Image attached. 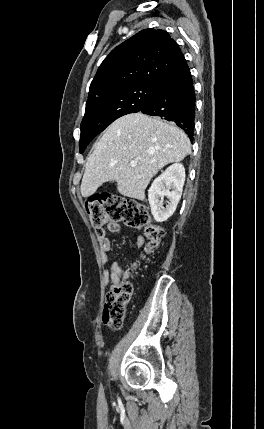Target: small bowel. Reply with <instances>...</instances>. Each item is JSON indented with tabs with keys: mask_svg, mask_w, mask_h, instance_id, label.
Instances as JSON below:
<instances>
[{
	"mask_svg": "<svg viewBox=\"0 0 264 429\" xmlns=\"http://www.w3.org/2000/svg\"><path fill=\"white\" fill-rule=\"evenodd\" d=\"M107 229L109 232L115 233L120 230V225L116 221H110L107 225ZM97 239L100 245L102 260L107 262L109 259V255L112 250V245L110 239L106 235V231L103 229L101 233H96ZM145 243V239L142 236H138L136 238L135 244L137 247H142ZM119 273H114L110 276L111 280L115 283L119 280Z\"/></svg>",
	"mask_w": 264,
	"mask_h": 429,
	"instance_id": "1",
	"label": "small bowel"
}]
</instances>
